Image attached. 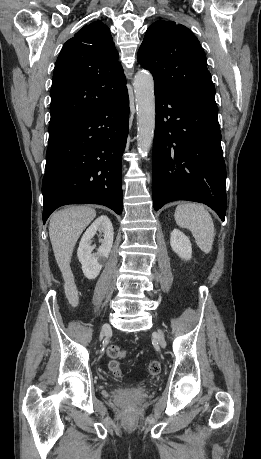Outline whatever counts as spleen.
Masks as SVG:
<instances>
[{
    "instance_id": "spleen-1",
    "label": "spleen",
    "mask_w": 261,
    "mask_h": 459,
    "mask_svg": "<svg viewBox=\"0 0 261 459\" xmlns=\"http://www.w3.org/2000/svg\"><path fill=\"white\" fill-rule=\"evenodd\" d=\"M176 223L189 229L197 246L206 254L210 253L214 241V223L210 213L201 204L185 203L176 207Z\"/></svg>"
}]
</instances>
